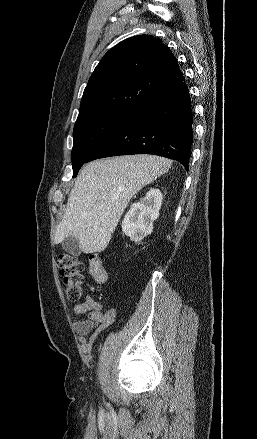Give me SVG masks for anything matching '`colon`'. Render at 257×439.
<instances>
[{"label": "colon", "mask_w": 257, "mask_h": 439, "mask_svg": "<svg viewBox=\"0 0 257 439\" xmlns=\"http://www.w3.org/2000/svg\"><path fill=\"white\" fill-rule=\"evenodd\" d=\"M57 265L67 300L71 303L79 302L83 296L84 283L82 262L68 253H60L57 257ZM90 272L98 284L105 285L107 283V272L98 255H92L90 258Z\"/></svg>", "instance_id": "1"}]
</instances>
